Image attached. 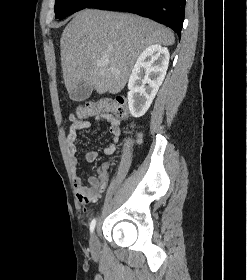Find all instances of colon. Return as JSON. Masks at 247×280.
Wrapping results in <instances>:
<instances>
[{"mask_svg":"<svg viewBox=\"0 0 247 280\" xmlns=\"http://www.w3.org/2000/svg\"><path fill=\"white\" fill-rule=\"evenodd\" d=\"M111 114L118 119L127 117V105L124 99H100L97 101H88L78 106L74 113L71 114V120H81L88 116H96L100 114ZM100 168L98 169V172Z\"/></svg>","mask_w":247,"mask_h":280,"instance_id":"1","label":"colon"}]
</instances>
